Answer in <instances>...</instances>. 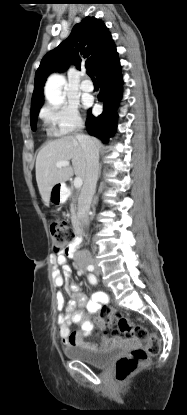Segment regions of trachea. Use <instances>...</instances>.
Returning a JSON list of instances; mask_svg holds the SVG:
<instances>
[{
    "label": "trachea",
    "instance_id": "1",
    "mask_svg": "<svg viewBox=\"0 0 187 415\" xmlns=\"http://www.w3.org/2000/svg\"><path fill=\"white\" fill-rule=\"evenodd\" d=\"M87 74H88L90 77H92V74H91V72H90V71H88V72H87ZM93 80H95V79L93 78Z\"/></svg>",
    "mask_w": 187,
    "mask_h": 415
}]
</instances>
